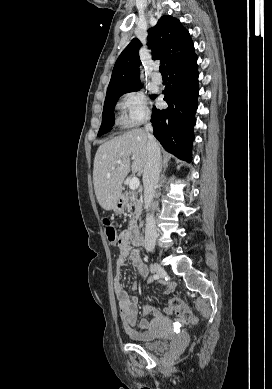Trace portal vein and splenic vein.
Segmentation results:
<instances>
[{
    "mask_svg": "<svg viewBox=\"0 0 272 389\" xmlns=\"http://www.w3.org/2000/svg\"><path fill=\"white\" fill-rule=\"evenodd\" d=\"M117 163L118 164L122 163V160H117ZM139 185H140V182H139V179L137 177H133V178L130 179L129 188L131 190L138 189Z\"/></svg>",
    "mask_w": 272,
    "mask_h": 389,
    "instance_id": "obj_1",
    "label": "portal vein and splenic vein"
}]
</instances>
